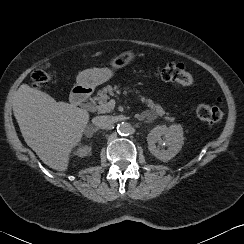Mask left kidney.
I'll list each match as a JSON object with an SVG mask.
<instances>
[{
    "label": "left kidney",
    "mask_w": 244,
    "mask_h": 244,
    "mask_svg": "<svg viewBox=\"0 0 244 244\" xmlns=\"http://www.w3.org/2000/svg\"><path fill=\"white\" fill-rule=\"evenodd\" d=\"M161 137L165 138L167 149L162 147ZM184 140L183 127L180 124L169 127L166 125L157 126L147 135L148 149L152 155L163 162L169 161L180 152Z\"/></svg>",
    "instance_id": "5707ae66"
}]
</instances>
